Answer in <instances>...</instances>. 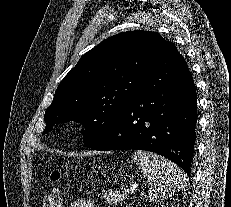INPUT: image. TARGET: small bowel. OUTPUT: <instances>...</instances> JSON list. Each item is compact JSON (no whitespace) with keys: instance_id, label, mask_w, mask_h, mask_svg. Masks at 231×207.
Listing matches in <instances>:
<instances>
[{"instance_id":"c3829d8e","label":"small bowel","mask_w":231,"mask_h":207,"mask_svg":"<svg viewBox=\"0 0 231 207\" xmlns=\"http://www.w3.org/2000/svg\"><path fill=\"white\" fill-rule=\"evenodd\" d=\"M70 207H96L95 203L90 199L78 198Z\"/></svg>"}]
</instances>
